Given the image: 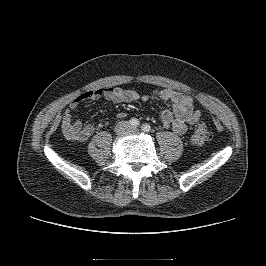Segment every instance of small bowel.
Here are the masks:
<instances>
[{
    "label": "small bowel",
    "mask_w": 266,
    "mask_h": 266,
    "mask_svg": "<svg viewBox=\"0 0 266 266\" xmlns=\"http://www.w3.org/2000/svg\"><path fill=\"white\" fill-rule=\"evenodd\" d=\"M101 98L112 103H131L139 99L144 102L150 99L167 102L170 108H164L161 111L160 122L165 128L171 129L178 135H183L190 125L197 123L202 117L201 110L195 108L193 97L169 88H158L142 96L134 90L117 87L92 89L78 96L62 115L61 129L67 139L85 142L93 135L94 126L83 125L77 113L83 102L96 101ZM119 116L124 117L125 114L122 112Z\"/></svg>",
    "instance_id": "small-bowel-1"
}]
</instances>
